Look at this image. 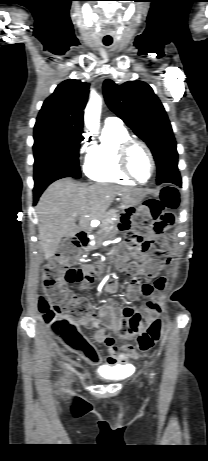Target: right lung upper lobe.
Masks as SVG:
<instances>
[{"mask_svg":"<svg viewBox=\"0 0 208 461\" xmlns=\"http://www.w3.org/2000/svg\"><path fill=\"white\" fill-rule=\"evenodd\" d=\"M89 93V84L69 79L57 86L39 112L38 121L47 120L82 131L83 109ZM83 132V131H82Z\"/></svg>","mask_w":208,"mask_h":461,"instance_id":"cb5924a9","label":"right lung upper lobe"}]
</instances>
